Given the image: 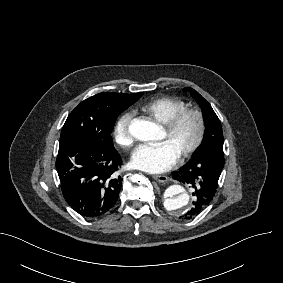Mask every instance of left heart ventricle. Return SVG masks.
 Listing matches in <instances>:
<instances>
[{
	"instance_id": "1",
	"label": "left heart ventricle",
	"mask_w": 283,
	"mask_h": 283,
	"mask_svg": "<svg viewBox=\"0 0 283 283\" xmlns=\"http://www.w3.org/2000/svg\"><path fill=\"white\" fill-rule=\"evenodd\" d=\"M198 124L193 116L186 117L178 128L171 134L164 130L159 140L168 141L173 148L181 153L189 147L197 135Z\"/></svg>"
}]
</instances>
